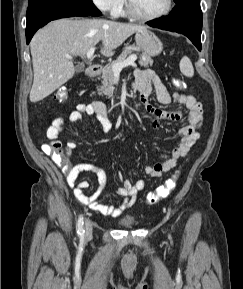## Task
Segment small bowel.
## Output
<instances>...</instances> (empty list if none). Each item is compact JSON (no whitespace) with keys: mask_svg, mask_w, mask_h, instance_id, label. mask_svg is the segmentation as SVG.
<instances>
[{"mask_svg":"<svg viewBox=\"0 0 243 289\" xmlns=\"http://www.w3.org/2000/svg\"><path fill=\"white\" fill-rule=\"evenodd\" d=\"M134 89L140 94V101L148 115L151 116V127L157 129L162 121L178 122L182 119L187 123L180 129L179 133L181 141L179 145L173 149L170 155H163V161L145 168L148 179H142L132 184L127 179H122L119 174L122 185L115 191L124 200L119 205H108L99 202V198L103 193L106 176L105 173L96 165L88 163H78L72 168L65 166L63 168L66 175V181L70 188L73 189L74 196L82 204L91 209L112 217L121 215L126 209L130 208L138 195V193L146 186L147 182L153 178H159L163 173L173 169L178 160L184 158L191 147L199 139V128L202 124V105L193 95L184 94L182 92L169 93L165 84L160 80L156 73L151 69L136 70L134 79ZM155 91L156 98L160 104L168 105L175 103L186 109L184 113L181 108L172 111H164L158 109L148 103V97L152 91ZM84 115L95 116L102 126L103 132L109 134L112 132L113 124L107 115L105 105L100 101L92 103H80L75 110L67 116L56 117L47 129V137L50 142L58 141L59 136L66 129L68 123H75L82 119ZM75 141L66 143V155L70 158L72 151L76 148ZM93 172L97 175L99 187L92 195H87L85 190L89 184L87 181H78V177L83 172Z\"/></svg>","mask_w":243,"mask_h":289,"instance_id":"1","label":"small bowel"}]
</instances>
